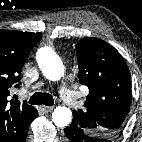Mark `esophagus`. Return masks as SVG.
<instances>
[{
  "mask_svg": "<svg viewBox=\"0 0 142 142\" xmlns=\"http://www.w3.org/2000/svg\"><path fill=\"white\" fill-rule=\"evenodd\" d=\"M42 108H43V110L45 111V112H51L52 110H53V107H51V106H42Z\"/></svg>",
  "mask_w": 142,
  "mask_h": 142,
  "instance_id": "obj_1",
  "label": "esophagus"
}]
</instances>
